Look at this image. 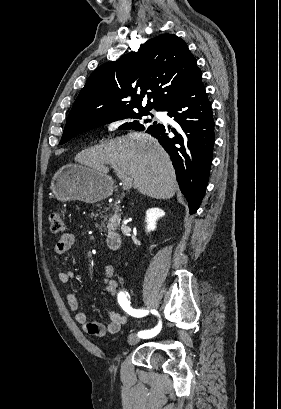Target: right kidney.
I'll return each instance as SVG.
<instances>
[{"label": "right kidney", "instance_id": "ca27d5eb", "mask_svg": "<svg viewBox=\"0 0 281 409\" xmlns=\"http://www.w3.org/2000/svg\"><path fill=\"white\" fill-rule=\"evenodd\" d=\"M165 213L162 211V209H158V207H153V209H148L146 211V229L147 233H150V231H155L156 229V221L160 219V217H164Z\"/></svg>", "mask_w": 281, "mask_h": 409}]
</instances>
